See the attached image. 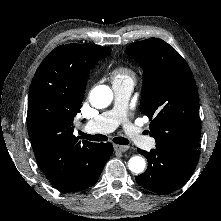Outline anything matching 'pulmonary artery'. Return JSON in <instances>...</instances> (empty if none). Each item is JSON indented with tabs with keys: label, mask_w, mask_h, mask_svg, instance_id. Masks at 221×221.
Wrapping results in <instances>:
<instances>
[{
	"label": "pulmonary artery",
	"mask_w": 221,
	"mask_h": 221,
	"mask_svg": "<svg viewBox=\"0 0 221 221\" xmlns=\"http://www.w3.org/2000/svg\"><path fill=\"white\" fill-rule=\"evenodd\" d=\"M134 83H113L114 106L111 110L105 111L85 124V130L89 133H109L123 124L124 131L128 138L136 145L151 149L155 146V139L144 136L142 130L131 124L126 117L127 103L133 91Z\"/></svg>",
	"instance_id": "1"
}]
</instances>
